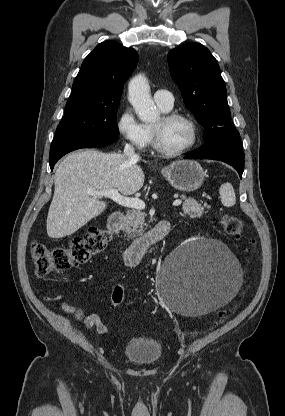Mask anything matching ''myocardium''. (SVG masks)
Masks as SVG:
<instances>
[{
    "label": "myocardium",
    "instance_id": "1",
    "mask_svg": "<svg viewBox=\"0 0 285 416\" xmlns=\"http://www.w3.org/2000/svg\"><path fill=\"white\" fill-rule=\"evenodd\" d=\"M161 118L163 121H172L176 119L185 121L189 125L190 130H191V140H190V143L186 147L180 150H169V149L164 148L160 144L156 130L153 127H151L153 148L159 154L166 156V157H178V156H182V155L189 153L196 146L197 141H198V128H197L195 121L186 114L179 113V112H171V111L164 112L161 115Z\"/></svg>",
    "mask_w": 285,
    "mask_h": 416
}]
</instances>
